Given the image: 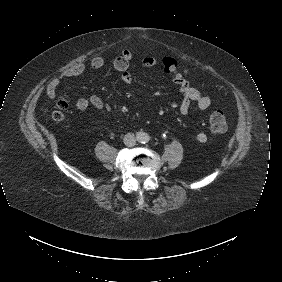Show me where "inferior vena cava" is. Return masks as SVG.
Instances as JSON below:
<instances>
[{"label":"inferior vena cava","instance_id":"obj_1","mask_svg":"<svg viewBox=\"0 0 282 282\" xmlns=\"http://www.w3.org/2000/svg\"><path fill=\"white\" fill-rule=\"evenodd\" d=\"M123 142L126 146L132 147L136 144V137L134 133H127L124 138Z\"/></svg>","mask_w":282,"mask_h":282}]
</instances>
